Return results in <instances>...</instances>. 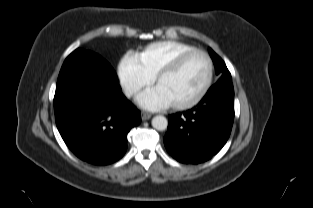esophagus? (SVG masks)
Segmentation results:
<instances>
[{"label":"esophagus","instance_id":"1","mask_svg":"<svg viewBox=\"0 0 313 208\" xmlns=\"http://www.w3.org/2000/svg\"><path fill=\"white\" fill-rule=\"evenodd\" d=\"M151 117H152V115L150 113H148V112H142L141 113V118H142L143 121L148 120Z\"/></svg>","mask_w":313,"mask_h":208}]
</instances>
